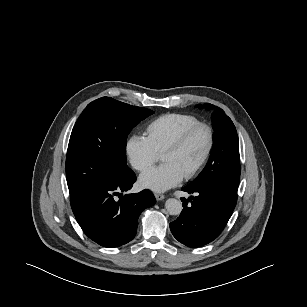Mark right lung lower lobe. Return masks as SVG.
<instances>
[{"label":"right lung lower lobe","instance_id":"1","mask_svg":"<svg viewBox=\"0 0 307 307\" xmlns=\"http://www.w3.org/2000/svg\"><path fill=\"white\" fill-rule=\"evenodd\" d=\"M136 181L135 173L128 168L116 178L71 199V207L84 233L104 247H118L136 235L141 212L155 204L149 190L122 195ZM115 196H121L117 200Z\"/></svg>","mask_w":307,"mask_h":307}]
</instances>
